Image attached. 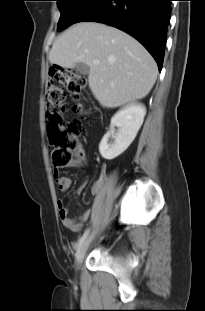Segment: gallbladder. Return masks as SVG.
Masks as SVG:
<instances>
[{
    "mask_svg": "<svg viewBox=\"0 0 205 311\" xmlns=\"http://www.w3.org/2000/svg\"><path fill=\"white\" fill-rule=\"evenodd\" d=\"M75 70L81 75H87L89 73V66L84 63H77L75 65Z\"/></svg>",
    "mask_w": 205,
    "mask_h": 311,
    "instance_id": "obj_1",
    "label": "gallbladder"
}]
</instances>
